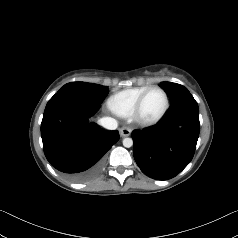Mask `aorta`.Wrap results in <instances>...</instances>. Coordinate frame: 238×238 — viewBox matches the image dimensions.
<instances>
[{"instance_id": "obj_1", "label": "aorta", "mask_w": 238, "mask_h": 238, "mask_svg": "<svg viewBox=\"0 0 238 238\" xmlns=\"http://www.w3.org/2000/svg\"><path fill=\"white\" fill-rule=\"evenodd\" d=\"M123 146L126 148H130L133 146V140L132 138H124L123 139Z\"/></svg>"}]
</instances>
